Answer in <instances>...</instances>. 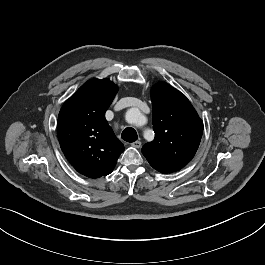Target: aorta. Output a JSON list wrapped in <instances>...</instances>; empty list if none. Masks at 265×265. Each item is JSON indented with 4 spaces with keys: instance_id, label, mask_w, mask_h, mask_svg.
Instances as JSON below:
<instances>
[{
    "instance_id": "1",
    "label": "aorta",
    "mask_w": 265,
    "mask_h": 265,
    "mask_svg": "<svg viewBox=\"0 0 265 265\" xmlns=\"http://www.w3.org/2000/svg\"><path fill=\"white\" fill-rule=\"evenodd\" d=\"M141 118L142 114L137 108H131L126 112V120L129 123H137Z\"/></svg>"
}]
</instances>
